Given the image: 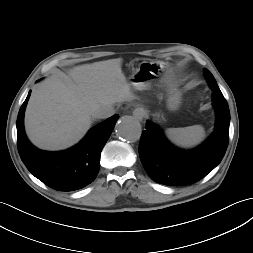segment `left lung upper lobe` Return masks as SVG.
I'll use <instances>...</instances> for the list:
<instances>
[{
	"label": "left lung upper lobe",
	"instance_id": "obj_1",
	"mask_svg": "<svg viewBox=\"0 0 253 253\" xmlns=\"http://www.w3.org/2000/svg\"><path fill=\"white\" fill-rule=\"evenodd\" d=\"M204 72H205V76H206V78H207V81H208V83H209V86L212 88V90L213 89H218V90H220L219 88H218V85H217V83H216V80L214 79V77H213V75L210 73V71L208 70V69H204Z\"/></svg>",
	"mask_w": 253,
	"mask_h": 253
}]
</instances>
